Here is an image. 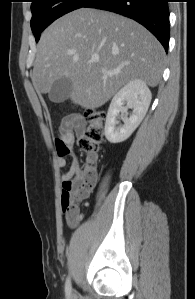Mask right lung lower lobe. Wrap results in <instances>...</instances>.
<instances>
[{"mask_svg":"<svg viewBox=\"0 0 195 299\" xmlns=\"http://www.w3.org/2000/svg\"><path fill=\"white\" fill-rule=\"evenodd\" d=\"M83 7L115 12L139 22L168 50V0H89Z\"/></svg>","mask_w":195,"mask_h":299,"instance_id":"1","label":"right lung lower lobe"}]
</instances>
